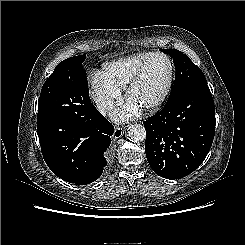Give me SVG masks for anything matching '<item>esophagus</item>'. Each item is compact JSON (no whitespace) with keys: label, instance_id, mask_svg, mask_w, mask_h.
Segmentation results:
<instances>
[{"label":"esophagus","instance_id":"1","mask_svg":"<svg viewBox=\"0 0 245 245\" xmlns=\"http://www.w3.org/2000/svg\"><path fill=\"white\" fill-rule=\"evenodd\" d=\"M124 131H125V128H123V127H116L115 130H114L113 137L115 139L121 138L123 136V134H124Z\"/></svg>","mask_w":245,"mask_h":245}]
</instances>
